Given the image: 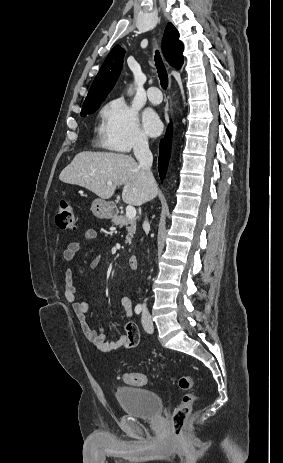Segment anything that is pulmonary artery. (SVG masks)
I'll list each match as a JSON object with an SVG mask.
<instances>
[{
	"label": "pulmonary artery",
	"instance_id": "e3ab8cb5",
	"mask_svg": "<svg viewBox=\"0 0 283 463\" xmlns=\"http://www.w3.org/2000/svg\"><path fill=\"white\" fill-rule=\"evenodd\" d=\"M147 97L152 104H159L162 101L160 91L155 86L148 88Z\"/></svg>",
	"mask_w": 283,
	"mask_h": 463
}]
</instances>
